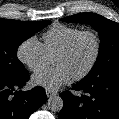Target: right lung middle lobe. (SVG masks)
Masks as SVG:
<instances>
[{
  "instance_id": "dd1d6c3e",
  "label": "right lung middle lobe",
  "mask_w": 119,
  "mask_h": 119,
  "mask_svg": "<svg viewBox=\"0 0 119 119\" xmlns=\"http://www.w3.org/2000/svg\"><path fill=\"white\" fill-rule=\"evenodd\" d=\"M50 23L0 19V79L18 77L27 71L17 58V48Z\"/></svg>"
}]
</instances>
